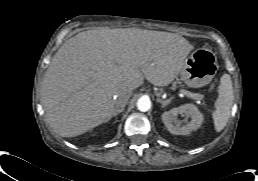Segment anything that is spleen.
Instances as JSON below:
<instances>
[{
    "label": "spleen",
    "instance_id": "spleen-1",
    "mask_svg": "<svg viewBox=\"0 0 258 181\" xmlns=\"http://www.w3.org/2000/svg\"><path fill=\"white\" fill-rule=\"evenodd\" d=\"M233 85L230 75L224 74L220 79L219 96L212 113L214 127L220 132L226 126L233 106Z\"/></svg>",
    "mask_w": 258,
    "mask_h": 181
}]
</instances>
